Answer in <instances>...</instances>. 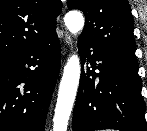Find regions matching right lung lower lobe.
Returning a JSON list of instances; mask_svg holds the SVG:
<instances>
[{
    "label": "right lung lower lobe",
    "instance_id": "right-lung-lower-lobe-1",
    "mask_svg": "<svg viewBox=\"0 0 147 131\" xmlns=\"http://www.w3.org/2000/svg\"><path fill=\"white\" fill-rule=\"evenodd\" d=\"M60 42H47L0 59V131H44L60 69Z\"/></svg>",
    "mask_w": 147,
    "mask_h": 131
}]
</instances>
